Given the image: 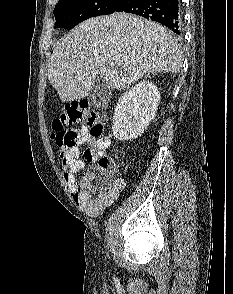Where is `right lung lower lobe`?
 I'll list each match as a JSON object with an SVG mask.
<instances>
[{
    "instance_id": "1",
    "label": "right lung lower lobe",
    "mask_w": 233,
    "mask_h": 294,
    "mask_svg": "<svg viewBox=\"0 0 233 294\" xmlns=\"http://www.w3.org/2000/svg\"><path fill=\"white\" fill-rule=\"evenodd\" d=\"M115 12H127L157 21L177 35H182L179 0H123Z\"/></svg>"
}]
</instances>
